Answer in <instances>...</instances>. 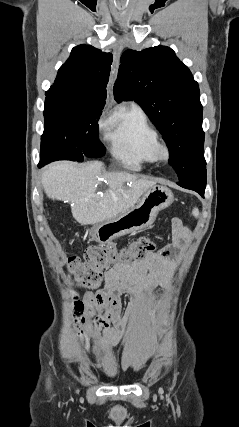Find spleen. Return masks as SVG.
Returning a JSON list of instances; mask_svg holds the SVG:
<instances>
[{"mask_svg": "<svg viewBox=\"0 0 239 427\" xmlns=\"http://www.w3.org/2000/svg\"><path fill=\"white\" fill-rule=\"evenodd\" d=\"M192 214H193L194 217L197 218L199 216V210H198V208H194L193 211H192Z\"/></svg>", "mask_w": 239, "mask_h": 427, "instance_id": "1", "label": "spleen"}]
</instances>
